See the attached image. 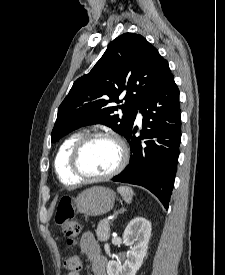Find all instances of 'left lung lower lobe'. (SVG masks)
Returning a JSON list of instances; mask_svg holds the SVG:
<instances>
[{"label": "left lung lower lobe", "mask_w": 225, "mask_h": 275, "mask_svg": "<svg viewBox=\"0 0 225 275\" xmlns=\"http://www.w3.org/2000/svg\"><path fill=\"white\" fill-rule=\"evenodd\" d=\"M139 109L144 132L136 137L137 127L129 130L125 136L131 149L129 165L112 180L143 186L168 208L181 140L179 91L171 70L146 95Z\"/></svg>", "instance_id": "left-lung-lower-lobe-1"}]
</instances>
